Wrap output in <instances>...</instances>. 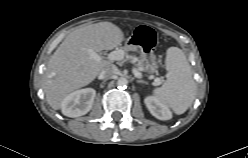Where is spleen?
<instances>
[{"mask_svg": "<svg viewBox=\"0 0 248 158\" xmlns=\"http://www.w3.org/2000/svg\"><path fill=\"white\" fill-rule=\"evenodd\" d=\"M168 71L164 84L154 89L153 95L176 114H183L195 97L196 83L184 52L177 47L167 49L165 60Z\"/></svg>", "mask_w": 248, "mask_h": 158, "instance_id": "spleen-1", "label": "spleen"}]
</instances>
